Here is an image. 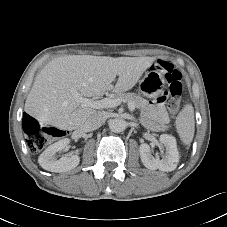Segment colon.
Segmentation results:
<instances>
[{
  "mask_svg": "<svg viewBox=\"0 0 227 227\" xmlns=\"http://www.w3.org/2000/svg\"><path fill=\"white\" fill-rule=\"evenodd\" d=\"M154 68L161 71L169 82L171 97L168 101V109L172 116H176L181 107L182 72L164 60L157 61ZM24 131L27 135V145L33 152L42 150L46 146L48 141L47 135H57L60 133L56 129L43 127L32 117L25 119Z\"/></svg>",
  "mask_w": 227,
  "mask_h": 227,
  "instance_id": "obj_1",
  "label": "colon"
}]
</instances>
